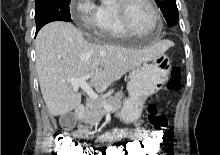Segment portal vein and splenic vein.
I'll return each instance as SVG.
<instances>
[{
	"label": "portal vein and splenic vein",
	"instance_id": "1",
	"mask_svg": "<svg viewBox=\"0 0 220 155\" xmlns=\"http://www.w3.org/2000/svg\"><path fill=\"white\" fill-rule=\"evenodd\" d=\"M92 75L93 73H89L80 78L68 79L67 82H70L72 84L74 90H78V88H81L92 100H97L99 98L98 94L95 93L92 90L91 86L86 82ZM98 103L102 104L107 110L112 109L111 106L106 104L105 100H99Z\"/></svg>",
	"mask_w": 220,
	"mask_h": 155
}]
</instances>
